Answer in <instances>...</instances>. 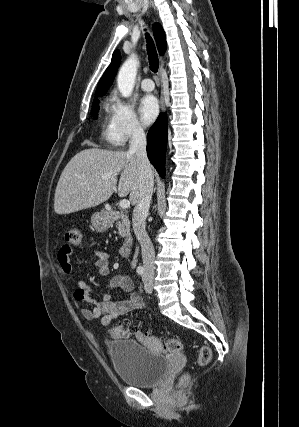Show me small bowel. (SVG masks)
Masks as SVG:
<instances>
[{
  "instance_id": "obj_1",
  "label": "small bowel",
  "mask_w": 299,
  "mask_h": 427,
  "mask_svg": "<svg viewBox=\"0 0 299 427\" xmlns=\"http://www.w3.org/2000/svg\"><path fill=\"white\" fill-rule=\"evenodd\" d=\"M95 267L101 276L109 274V255L105 251L96 250ZM75 252L70 246H63L58 254V262L62 271L66 274L74 272L73 259ZM107 289H120L121 291L130 294L128 299L122 301H114L107 291L101 292V299L94 300L91 294L94 292L86 281L80 279L77 281L76 289L73 293V298L77 302H90L91 307H83L80 310L81 316L87 321L98 320L103 326H108L114 319L120 316L142 308L143 301L133 293V281L125 275H115L106 285ZM141 335V333H138Z\"/></svg>"
}]
</instances>
